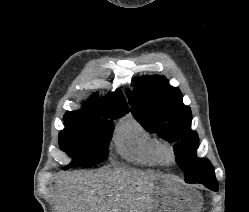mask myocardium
Instances as JSON below:
<instances>
[{
  "label": "myocardium",
  "mask_w": 249,
  "mask_h": 212,
  "mask_svg": "<svg viewBox=\"0 0 249 212\" xmlns=\"http://www.w3.org/2000/svg\"><path fill=\"white\" fill-rule=\"evenodd\" d=\"M161 155L163 157V159L168 162V163H172L175 161L176 159V152L174 147L170 144V143H162L161 145Z\"/></svg>",
  "instance_id": "1"
}]
</instances>
